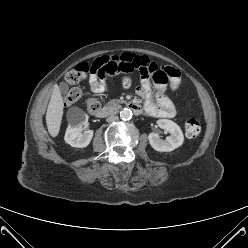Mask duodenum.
Returning a JSON list of instances; mask_svg holds the SVG:
<instances>
[{"label": "duodenum", "instance_id": "obj_1", "mask_svg": "<svg viewBox=\"0 0 248 248\" xmlns=\"http://www.w3.org/2000/svg\"><path fill=\"white\" fill-rule=\"evenodd\" d=\"M133 112H135L136 114H139L142 112V108L140 105L134 103V102H130L127 105ZM111 114V110L109 108H102L100 109L98 112H96L95 116L97 118H104L108 115Z\"/></svg>", "mask_w": 248, "mask_h": 248}]
</instances>
